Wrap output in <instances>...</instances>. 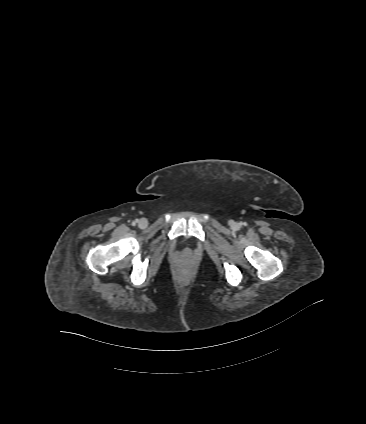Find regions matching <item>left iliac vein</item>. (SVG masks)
Returning <instances> with one entry per match:
<instances>
[{
	"label": "left iliac vein",
	"mask_w": 366,
	"mask_h": 424,
	"mask_svg": "<svg viewBox=\"0 0 366 424\" xmlns=\"http://www.w3.org/2000/svg\"><path fill=\"white\" fill-rule=\"evenodd\" d=\"M230 226L232 227V228H234V229H238V227H239V225L236 223V222H234V221H230Z\"/></svg>",
	"instance_id": "4c4485c4"
}]
</instances>
